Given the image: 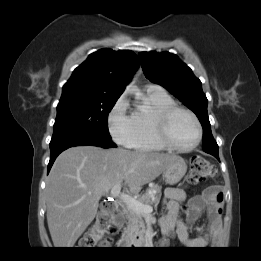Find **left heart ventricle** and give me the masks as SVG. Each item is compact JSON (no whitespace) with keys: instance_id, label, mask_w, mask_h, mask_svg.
<instances>
[{"instance_id":"b2bd125f","label":"left heart ventricle","mask_w":261,"mask_h":261,"mask_svg":"<svg viewBox=\"0 0 261 261\" xmlns=\"http://www.w3.org/2000/svg\"><path fill=\"white\" fill-rule=\"evenodd\" d=\"M169 133L172 141L182 147L190 146L197 138L196 125L193 119L184 112H177L172 116Z\"/></svg>"}]
</instances>
